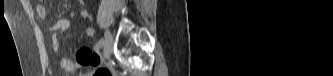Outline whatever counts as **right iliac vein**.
Returning <instances> with one entry per match:
<instances>
[{"instance_id": "63e3f726", "label": "right iliac vein", "mask_w": 333, "mask_h": 76, "mask_svg": "<svg viewBox=\"0 0 333 76\" xmlns=\"http://www.w3.org/2000/svg\"><path fill=\"white\" fill-rule=\"evenodd\" d=\"M112 45H113L112 35L109 31H107L104 35V42H103L104 59H107L110 56L112 51Z\"/></svg>"}]
</instances>
